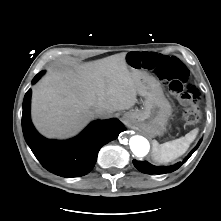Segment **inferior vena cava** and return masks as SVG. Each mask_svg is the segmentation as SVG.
<instances>
[{"mask_svg":"<svg viewBox=\"0 0 221 221\" xmlns=\"http://www.w3.org/2000/svg\"><path fill=\"white\" fill-rule=\"evenodd\" d=\"M94 113L97 117H100V118H106L107 117V113L102 109H96Z\"/></svg>","mask_w":221,"mask_h":221,"instance_id":"inferior-vena-cava-1","label":"inferior vena cava"}]
</instances>
